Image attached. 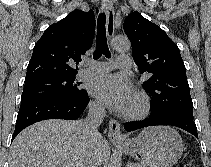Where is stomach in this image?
Wrapping results in <instances>:
<instances>
[{
	"mask_svg": "<svg viewBox=\"0 0 211 167\" xmlns=\"http://www.w3.org/2000/svg\"><path fill=\"white\" fill-rule=\"evenodd\" d=\"M119 147L145 167H172L183 153L181 136L165 126L146 128Z\"/></svg>",
	"mask_w": 211,
	"mask_h": 167,
	"instance_id": "obj_1",
	"label": "stomach"
}]
</instances>
